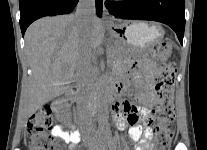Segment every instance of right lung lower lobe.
I'll list each match as a JSON object with an SVG mask.
<instances>
[{
	"mask_svg": "<svg viewBox=\"0 0 207 150\" xmlns=\"http://www.w3.org/2000/svg\"><path fill=\"white\" fill-rule=\"evenodd\" d=\"M77 3L78 0H19L22 35L36 19L69 14L75 9ZM96 12L99 17L102 16V0H96Z\"/></svg>",
	"mask_w": 207,
	"mask_h": 150,
	"instance_id": "right-lung-lower-lobe-1",
	"label": "right lung lower lobe"
}]
</instances>
